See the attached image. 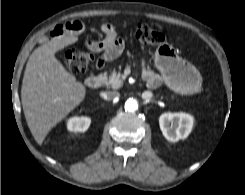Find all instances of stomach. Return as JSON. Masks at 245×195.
Masks as SVG:
<instances>
[{
    "instance_id": "1",
    "label": "stomach",
    "mask_w": 245,
    "mask_h": 195,
    "mask_svg": "<svg viewBox=\"0 0 245 195\" xmlns=\"http://www.w3.org/2000/svg\"><path fill=\"white\" fill-rule=\"evenodd\" d=\"M155 65L162 73L165 83L173 91L190 95L200 90L202 78L199 72L179 58L171 45L163 43L157 47Z\"/></svg>"
}]
</instances>
